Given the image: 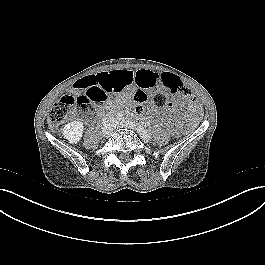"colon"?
Masks as SVG:
<instances>
[{
    "label": "colon",
    "mask_w": 265,
    "mask_h": 265,
    "mask_svg": "<svg viewBox=\"0 0 265 265\" xmlns=\"http://www.w3.org/2000/svg\"><path fill=\"white\" fill-rule=\"evenodd\" d=\"M158 81L165 88V91L156 90L150 95V100L155 107H165L169 97H182L185 99L183 106L187 112L195 114L201 110V99L198 96L191 95L177 76L165 71L159 75ZM117 91L118 89L112 82L104 76L84 77L74 83L72 93L64 95L52 106L49 111V120L53 124H59L75 112L81 114L93 113L98 103L105 101L110 93ZM134 100L136 102L135 110L138 114H141L149 101V94L144 89H138L134 94Z\"/></svg>",
    "instance_id": "obj_1"
}]
</instances>
